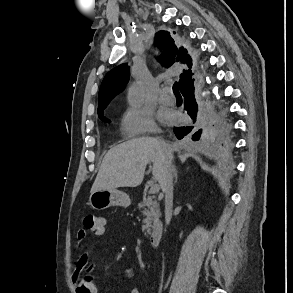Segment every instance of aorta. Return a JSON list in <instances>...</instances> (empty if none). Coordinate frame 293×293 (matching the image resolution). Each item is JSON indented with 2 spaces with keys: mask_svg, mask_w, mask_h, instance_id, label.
Returning a JSON list of instances; mask_svg holds the SVG:
<instances>
[{
  "mask_svg": "<svg viewBox=\"0 0 293 293\" xmlns=\"http://www.w3.org/2000/svg\"><path fill=\"white\" fill-rule=\"evenodd\" d=\"M144 95V88L141 83L134 84L129 90V98L132 104L140 105Z\"/></svg>",
  "mask_w": 293,
  "mask_h": 293,
  "instance_id": "obj_1",
  "label": "aorta"
}]
</instances>
